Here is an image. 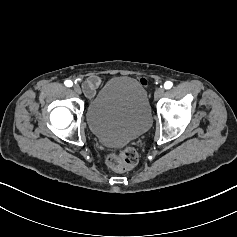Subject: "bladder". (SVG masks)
Listing matches in <instances>:
<instances>
[{
  "label": "bladder",
  "instance_id": "obj_1",
  "mask_svg": "<svg viewBox=\"0 0 237 237\" xmlns=\"http://www.w3.org/2000/svg\"><path fill=\"white\" fill-rule=\"evenodd\" d=\"M86 121L91 133L106 145L120 146L140 137L152 123L146 89L129 76L111 78L90 100Z\"/></svg>",
  "mask_w": 237,
  "mask_h": 237
}]
</instances>
